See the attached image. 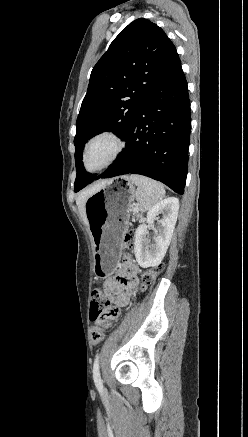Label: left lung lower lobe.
<instances>
[{
    "label": "left lung lower lobe",
    "mask_w": 248,
    "mask_h": 437,
    "mask_svg": "<svg viewBox=\"0 0 248 437\" xmlns=\"http://www.w3.org/2000/svg\"><path fill=\"white\" fill-rule=\"evenodd\" d=\"M191 130L187 81L177 58L144 99L125 150L99 178L141 174L184 193Z\"/></svg>",
    "instance_id": "1"
}]
</instances>
